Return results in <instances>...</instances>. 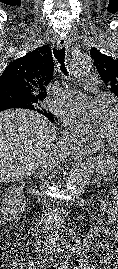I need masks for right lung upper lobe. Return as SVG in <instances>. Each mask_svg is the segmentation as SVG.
<instances>
[{"mask_svg": "<svg viewBox=\"0 0 118 269\" xmlns=\"http://www.w3.org/2000/svg\"><path fill=\"white\" fill-rule=\"evenodd\" d=\"M53 66L48 45L11 62L0 76V106L16 104L11 99L14 95L35 98L41 105L28 108L45 115L53 122V115L42 107L47 96L46 86L52 80Z\"/></svg>", "mask_w": 118, "mask_h": 269, "instance_id": "1", "label": "right lung upper lobe"}]
</instances>
